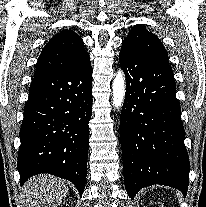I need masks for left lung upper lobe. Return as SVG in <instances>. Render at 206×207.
<instances>
[{
    "label": "left lung upper lobe",
    "instance_id": "1",
    "mask_svg": "<svg viewBox=\"0 0 206 207\" xmlns=\"http://www.w3.org/2000/svg\"><path fill=\"white\" fill-rule=\"evenodd\" d=\"M122 48L130 49L151 60L169 65L168 54L159 38L143 28L134 26L122 43Z\"/></svg>",
    "mask_w": 206,
    "mask_h": 207
}]
</instances>
